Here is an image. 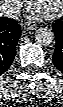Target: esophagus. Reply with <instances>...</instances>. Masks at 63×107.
Listing matches in <instances>:
<instances>
[{
    "label": "esophagus",
    "instance_id": "esophagus-1",
    "mask_svg": "<svg viewBox=\"0 0 63 107\" xmlns=\"http://www.w3.org/2000/svg\"><path fill=\"white\" fill-rule=\"evenodd\" d=\"M37 27L35 23L27 22L23 25V29L26 31L34 30Z\"/></svg>",
    "mask_w": 63,
    "mask_h": 107
}]
</instances>
